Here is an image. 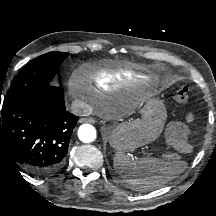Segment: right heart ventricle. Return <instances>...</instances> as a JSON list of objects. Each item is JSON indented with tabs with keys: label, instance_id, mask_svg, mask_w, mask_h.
Returning a JSON list of instances; mask_svg holds the SVG:
<instances>
[{
	"label": "right heart ventricle",
	"instance_id": "e07e8e85",
	"mask_svg": "<svg viewBox=\"0 0 216 216\" xmlns=\"http://www.w3.org/2000/svg\"><path fill=\"white\" fill-rule=\"evenodd\" d=\"M130 80H133L132 76L125 71H106L94 76L96 87L101 92L110 91L117 82H125Z\"/></svg>",
	"mask_w": 216,
	"mask_h": 216
}]
</instances>
